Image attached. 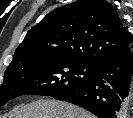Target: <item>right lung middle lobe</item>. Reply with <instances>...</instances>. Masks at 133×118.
Returning a JSON list of instances; mask_svg holds the SVG:
<instances>
[{"label": "right lung middle lobe", "mask_w": 133, "mask_h": 118, "mask_svg": "<svg viewBox=\"0 0 133 118\" xmlns=\"http://www.w3.org/2000/svg\"><path fill=\"white\" fill-rule=\"evenodd\" d=\"M94 73L95 67L60 58L7 69L0 87V106L20 95L58 96L86 84Z\"/></svg>", "instance_id": "right-lung-middle-lobe-1"}]
</instances>
